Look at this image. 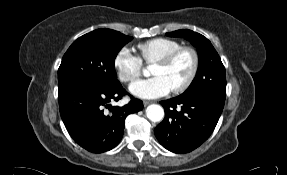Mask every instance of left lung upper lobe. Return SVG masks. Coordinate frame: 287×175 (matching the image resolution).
<instances>
[{
	"label": "left lung upper lobe",
	"mask_w": 287,
	"mask_h": 175,
	"mask_svg": "<svg viewBox=\"0 0 287 175\" xmlns=\"http://www.w3.org/2000/svg\"><path fill=\"white\" fill-rule=\"evenodd\" d=\"M166 35L185 38L198 50L199 67L197 74L191 85L182 95L202 94L225 101V67L211 42L203 35L187 29L174 31Z\"/></svg>",
	"instance_id": "obj_1"
}]
</instances>
